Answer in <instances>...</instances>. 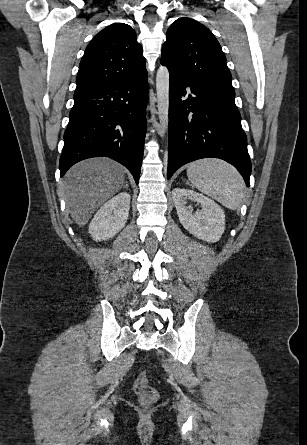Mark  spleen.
Returning <instances> with one entry per match:
<instances>
[{"label":"spleen","instance_id":"1","mask_svg":"<svg viewBox=\"0 0 307 445\" xmlns=\"http://www.w3.org/2000/svg\"><path fill=\"white\" fill-rule=\"evenodd\" d=\"M187 176L198 190L235 210L245 190L244 180L237 168L220 158H201L187 164Z\"/></svg>","mask_w":307,"mask_h":445}]
</instances>
